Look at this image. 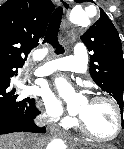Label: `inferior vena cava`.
<instances>
[{"instance_id": "inferior-vena-cava-1", "label": "inferior vena cava", "mask_w": 124, "mask_h": 149, "mask_svg": "<svg viewBox=\"0 0 124 149\" xmlns=\"http://www.w3.org/2000/svg\"><path fill=\"white\" fill-rule=\"evenodd\" d=\"M35 122L37 125H41L42 124V117L41 116L38 117L35 120ZM39 139H40V136H30V142H29L30 146H28V149H37Z\"/></svg>"}]
</instances>
